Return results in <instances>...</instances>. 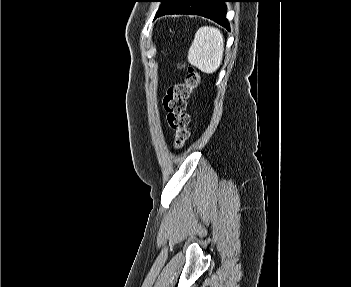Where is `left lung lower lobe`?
I'll list each match as a JSON object with an SVG mask.
<instances>
[{
  "mask_svg": "<svg viewBox=\"0 0 351 287\" xmlns=\"http://www.w3.org/2000/svg\"><path fill=\"white\" fill-rule=\"evenodd\" d=\"M225 2L230 0H172L155 18L166 14H190L209 18L229 30Z\"/></svg>",
  "mask_w": 351,
  "mask_h": 287,
  "instance_id": "0a47b994",
  "label": "left lung lower lobe"
}]
</instances>
